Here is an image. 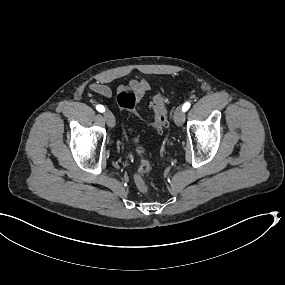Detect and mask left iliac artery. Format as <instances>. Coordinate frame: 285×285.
<instances>
[{"instance_id":"44dca946","label":"left iliac artery","mask_w":285,"mask_h":285,"mask_svg":"<svg viewBox=\"0 0 285 285\" xmlns=\"http://www.w3.org/2000/svg\"><path fill=\"white\" fill-rule=\"evenodd\" d=\"M189 108H190V103H189V102H186V103L183 105V107H182V109H183L184 112L187 111Z\"/></svg>"}]
</instances>
